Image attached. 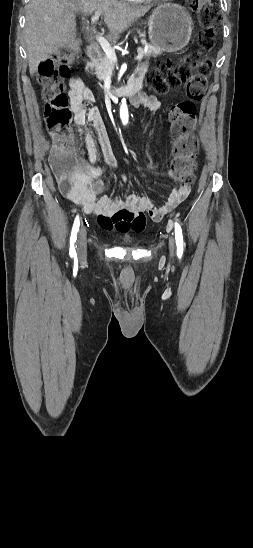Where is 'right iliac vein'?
I'll return each mask as SVG.
<instances>
[{
  "instance_id": "63e3f726",
  "label": "right iliac vein",
  "mask_w": 253,
  "mask_h": 548,
  "mask_svg": "<svg viewBox=\"0 0 253 548\" xmlns=\"http://www.w3.org/2000/svg\"><path fill=\"white\" fill-rule=\"evenodd\" d=\"M78 257L84 259L87 255V240H86V228L82 227L78 234L76 243Z\"/></svg>"
}]
</instances>
